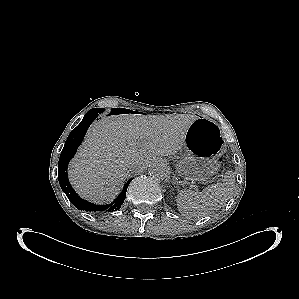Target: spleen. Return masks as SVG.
<instances>
[{
    "label": "spleen",
    "instance_id": "1",
    "mask_svg": "<svg viewBox=\"0 0 299 299\" xmlns=\"http://www.w3.org/2000/svg\"><path fill=\"white\" fill-rule=\"evenodd\" d=\"M234 184V174L228 173L223 183L211 185L199 194L192 190H181L176 199L178 210L188 218H203L227 202Z\"/></svg>",
    "mask_w": 299,
    "mask_h": 299
}]
</instances>
